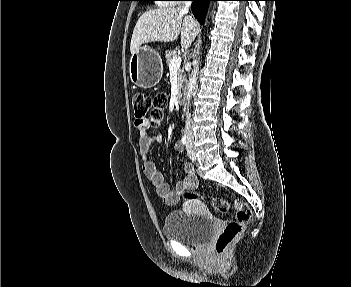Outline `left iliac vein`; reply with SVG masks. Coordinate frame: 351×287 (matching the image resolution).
Listing matches in <instances>:
<instances>
[{
  "label": "left iliac vein",
  "mask_w": 351,
  "mask_h": 287,
  "mask_svg": "<svg viewBox=\"0 0 351 287\" xmlns=\"http://www.w3.org/2000/svg\"><path fill=\"white\" fill-rule=\"evenodd\" d=\"M187 154H188V157H189L192 161H196V155H195V151H194L193 138H192V136H189V137H188V142H187Z\"/></svg>",
  "instance_id": "left-iliac-vein-1"
}]
</instances>
